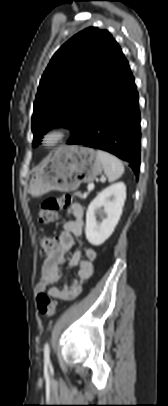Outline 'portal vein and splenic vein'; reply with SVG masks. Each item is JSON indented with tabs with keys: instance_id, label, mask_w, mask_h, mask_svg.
Returning a JSON list of instances; mask_svg holds the SVG:
<instances>
[{
	"instance_id": "1",
	"label": "portal vein and splenic vein",
	"mask_w": 168,
	"mask_h": 406,
	"mask_svg": "<svg viewBox=\"0 0 168 406\" xmlns=\"http://www.w3.org/2000/svg\"><path fill=\"white\" fill-rule=\"evenodd\" d=\"M87 189H88L89 192L92 191L94 189V184L89 183ZM84 198H86V195H84Z\"/></svg>"
}]
</instances>
